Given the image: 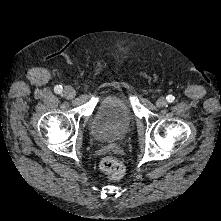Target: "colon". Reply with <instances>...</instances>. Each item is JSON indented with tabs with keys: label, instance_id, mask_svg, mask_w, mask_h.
Listing matches in <instances>:
<instances>
[{
	"label": "colon",
	"instance_id": "obj_1",
	"mask_svg": "<svg viewBox=\"0 0 221 221\" xmlns=\"http://www.w3.org/2000/svg\"><path fill=\"white\" fill-rule=\"evenodd\" d=\"M100 169L114 180L121 179L125 172L124 164L119 159L112 156L104 157L100 161Z\"/></svg>",
	"mask_w": 221,
	"mask_h": 221
}]
</instances>
